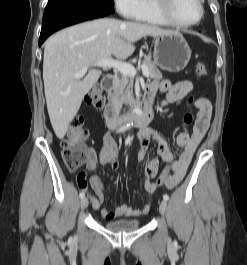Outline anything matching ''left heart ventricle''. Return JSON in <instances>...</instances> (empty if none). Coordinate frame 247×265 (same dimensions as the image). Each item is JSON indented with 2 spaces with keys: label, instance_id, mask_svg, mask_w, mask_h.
Instances as JSON below:
<instances>
[{
  "label": "left heart ventricle",
  "instance_id": "b2bd125f",
  "mask_svg": "<svg viewBox=\"0 0 247 265\" xmlns=\"http://www.w3.org/2000/svg\"><path fill=\"white\" fill-rule=\"evenodd\" d=\"M172 11L174 16L183 23L194 22L200 15L197 0H174Z\"/></svg>",
  "mask_w": 247,
  "mask_h": 265
}]
</instances>
